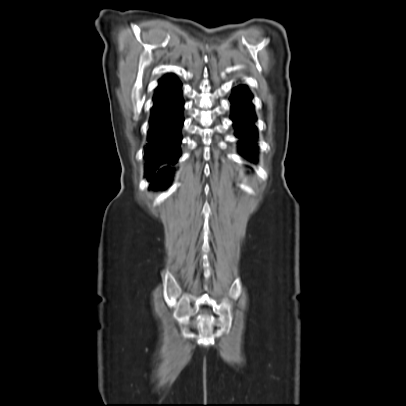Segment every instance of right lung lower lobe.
<instances>
[{"label": "right lung lower lobe", "instance_id": "1", "mask_svg": "<svg viewBox=\"0 0 406 406\" xmlns=\"http://www.w3.org/2000/svg\"><path fill=\"white\" fill-rule=\"evenodd\" d=\"M182 85L174 76L159 81L149 121L148 144L145 147L146 178L154 179L152 187L163 189L171 182L174 168L181 156L180 129L184 118Z\"/></svg>", "mask_w": 406, "mask_h": 406}]
</instances>
